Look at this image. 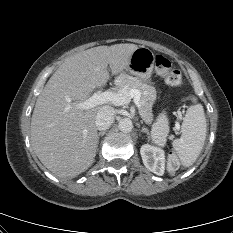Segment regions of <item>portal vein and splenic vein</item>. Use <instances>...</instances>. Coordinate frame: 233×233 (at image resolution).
I'll return each mask as SVG.
<instances>
[{"instance_id":"1","label":"portal vein and splenic vein","mask_w":233,"mask_h":233,"mask_svg":"<svg viewBox=\"0 0 233 233\" xmlns=\"http://www.w3.org/2000/svg\"><path fill=\"white\" fill-rule=\"evenodd\" d=\"M141 92L137 89L128 90V87H124L120 92H95L90 98L78 104L82 109H90L98 105L112 103L116 106H123L129 104L133 99L134 104L140 107ZM178 128V123L176 124Z\"/></svg>"}]
</instances>
